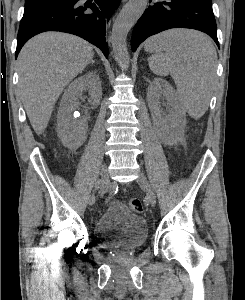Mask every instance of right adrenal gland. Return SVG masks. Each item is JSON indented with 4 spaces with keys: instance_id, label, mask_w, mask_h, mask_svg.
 Returning <instances> with one entry per match:
<instances>
[{
    "instance_id": "2a0ac1e0",
    "label": "right adrenal gland",
    "mask_w": 245,
    "mask_h": 300,
    "mask_svg": "<svg viewBox=\"0 0 245 300\" xmlns=\"http://www.w3.org/2000/svg\"><path fill=\"white\" fill-rule=\"evenodd\" d=\"M90 62H91L92 64L95 63V61H94L93 59H92Z\"/></svg>"
}]
</instances>
